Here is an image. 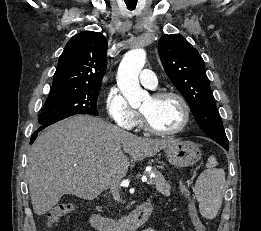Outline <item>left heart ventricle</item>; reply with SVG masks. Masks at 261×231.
<instances>
[{
	"label": "left heart ventricle",
	"mask_w": 261,
	"mask_h": 231,
	"mask_svg": "<svg viewBox=\"0 0 261 231\" xmlns=\"http://www.w3.org/2000/svg\"><path fill=\"white\" fill-rule=\"evenodd\" d=\"M154 127L162 131H171L178 128L183 120V111L175 98L154 100L149 97L140 107Z\"/></svg>",
	"instance_id": "left-heart-ventricle-1"
}]
</instances>
